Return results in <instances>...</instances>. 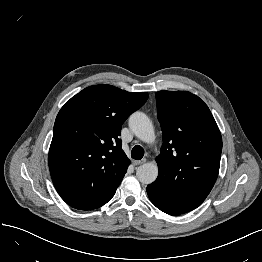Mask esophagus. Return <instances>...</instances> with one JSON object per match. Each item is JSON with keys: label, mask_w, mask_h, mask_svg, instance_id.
Wrapping results in <instances>:
<instances>
[{"label": "esophagus", "mask_w": 262, "mask_h": 262, "mask_svg": "<svg viewBox=\"0 0 262 262\" xmlns=\"http://www.w3.org/2000/svg\"><path fill=\"white\" fill-rule=\"evenodd\" d=\"M146 162V159H142V160H133L132 163L133 165H141L143 163Z\"/></svg>", "instance_id": "34e87169"}]
</instances>
